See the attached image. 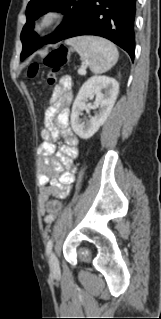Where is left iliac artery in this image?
<instances>
[{"label":"left iliac artery","instance_id":"left-iliac-artery-1","mask_svg":"<svg viewBox=\"0 0 161 319\" xmlns=\"http://www.w3.org/2000/svg\"><path fill=\"white\" fill-rule=\"evenodd\" d=\"M52 239H50L46 245V253L49 254L51 252L52 249Z\"/></svg>","mask_w":161,"mask_h":319}]
</instances>
